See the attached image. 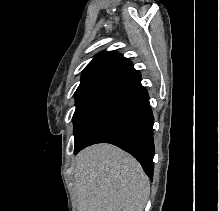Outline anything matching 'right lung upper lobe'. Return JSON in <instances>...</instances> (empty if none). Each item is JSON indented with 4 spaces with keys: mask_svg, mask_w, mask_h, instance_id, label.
Wrapping results in <instances>:
<instances>
[{
    "mask_svg": "<svg viewBox=\"0 0 219 211\" xmlns=\"http://www.w3.org/2000/svg\"><path fill=\"white\" fill-rule=\"evenodd\" d=\"M132 63L114 52H101L85 67L75 96L99 89H113L136 73Z\"/></svg>",
    "mask_w": 219,
    "mask_h": 211,
    "instance_id": "1",
    "label": "right lung upper lobe"
}]
</instances>
